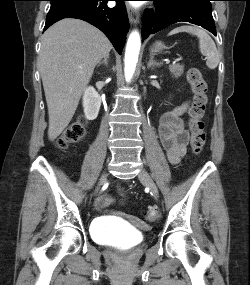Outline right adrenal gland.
<instances>
[{"label": "right adrenal gland", "mask_w": 250, "mask_h": 285, "mask_svg": "<svg viewBox=\"0 0 250 285\" xmlns=\"http://www.w3.org/2000/svg\"><path fill=\"white\" fill-rule=\"evenodd\" d=\"M108 58H109V55H107L106 57H104V59L98 63V66L100 65H107L108 64Z\"/></svg>", "instance_id": "1"}]
</instances>
